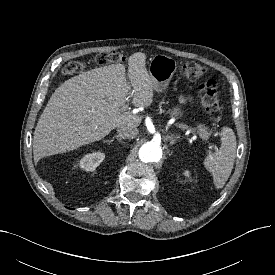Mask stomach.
Here are the masks:
<instances>
[{"instance_id": "0dacf381", "label": "stomach", "mask_w": 275, "mask_h": 275, "mask_svg": "<svg viewBox=\"0 0 275 275\" xmlns=\"http://www.w3.org/2000/svg\"><path fill=\"white\" fill-rule=\"evenodd\" d=\"M177 69L176 61L166 55L157 54L149 62V75L153 82V88L161 92L168 86L172 76ZM170 114L172 117L179 118L183 111L180 107H174Z\"/></svg>"}]
</instances>
